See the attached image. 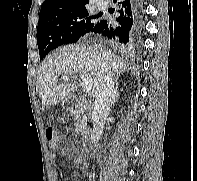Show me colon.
Masks as SVG:
<instances>
[{
  "instance_id": "obj_1",
  "label": "colon",
  "mask_w": 197,
  "mask_h": 181,
  "mask_svg": "<svg viewBox=\"0 0 197 181\" xmlns=\"http://www.w3.org/2000/svg\"><path fill=\"white\" fill-rule=\"evenodd\" d=\"M45 134L46 139L48 143L51 145V147H57L60 142V137L58 136L56 129L53 126H48L46 128Z\"/></svg>"
}]
</instances>
